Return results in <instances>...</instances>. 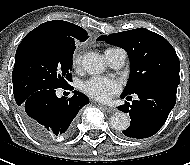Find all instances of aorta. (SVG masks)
Returning a JSON list of instances; mask_svg holds the SVG:
<instances>
[{"mask_svg": "<svg viewBox=\"0 0 190 165\" xmlns=\"http://www.w3.org/2000/svg\"><path fill=\"white\" fill-rule=\"evenodd\" d=\"M82 67L88 74L97 75L105 70V63L98 53L89 52L83 57ZM110 124L115 130L123 131L129 127L130 119L127 114L119 111L111 116Z\"/></svg>", "mask_w": 190, "mask_h": 165, "instance_id": "762f6f07", "label": "aorta"}]
</instances>
